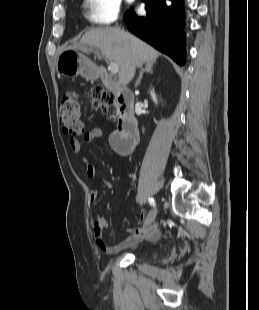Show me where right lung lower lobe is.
Masks as SVG:
<instances>
[{
    "instance_id": "1",
    "label": "right lung lower lobe",
    "mask_w": 259,
    "mask_h": 310,
    "mask_svg": "<svg viewBox=\"0 0 259 310\" xmlns=\"http://www.w3.org/2000/svg\"><path fill=\"white\" fill-rule=\"evenodd\" d=\"M146 16L138 17L132 10L124 14L127 28L157 50L170 56L177 64H185L182 0L166 6L165 0H142Z\"/></svg>"
}]
</instances>
